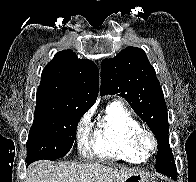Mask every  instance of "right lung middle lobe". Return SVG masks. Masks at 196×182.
Segmentation results:
<instances>
[{"label":"right lung middle lobe","mask_w":196,"mask_h":182,"mask_svg":"<svg viewBox=\"0 0 196 182\" xmlns=\"http://www.w3.org/2000/svg\"><path fill=\"white\" fill-rule=\"evenodd\" d=\"M83 116L70 109L35 111L27 141V164L40 159L56 160L71 149L77 124Z\"/></svg>","instance_id":"right-lung-middle-lobe-1"}]
</instances>
